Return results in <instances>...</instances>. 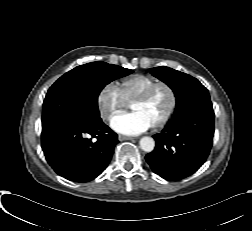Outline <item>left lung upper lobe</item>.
Masks as SVG:
<instances>
[{"label": "left lung upper lobe", "mask_w": 252, "mask_h": 231, "mask_svg": "<svg viewBox=\"0 0 252 231\" xmlns=\"http://www.w3.org/2000/svg\"><path fill=\"white\" fill-rule=\"evenodd\" d=\"M151 74L166 83L176 96L174 116L193 106H211L208 90L194 77L169 67H155Z\"/></svg>", "instance_id": "obj_1"}]
</instances>
